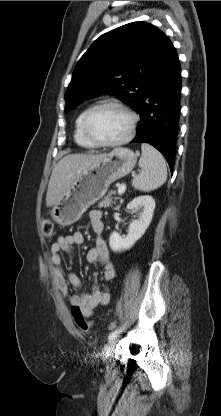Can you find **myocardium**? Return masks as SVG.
<instances>
[{"label": "myocardium", "instance_id": "myocardium-1", "mask_svg": "<svg viewBox=\"0 0 221 416\" xmlns=\"http://www.w3.org/2000/svg\"><path fill=\"white\" fill-rule=\"evenodd\" d=\"M107 106L117 107V108L121 109L122 111H124L129 117V127H128L127 133L122 138H120L118 140H115V141L99 140L90 131V121H91L92 117L94 116V114L97 111H99L101 108H104V107H107ZM137 122H138V117H137L136 113L130 107H128L126 104H124L123 102H121L119 100L107 99V100H104V101H101V102L97 103L96 105H94L90 108V110L86 113V115L83 119L82 128H83V132H84L85 136L94 145L102 146V147H116V146L123 145V144L129 142L132 139V137L134 136L135 130H136Z\"/></svg>", "mask_w": 221, "mask_h": 416}]
</instances>
